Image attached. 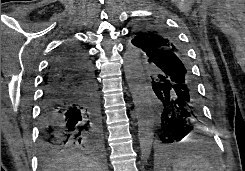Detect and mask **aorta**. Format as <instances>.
Listing matches in <instances>:
<instances>
[{"label": "aorta", "instance_id": "aorta-1", "mask_svg": "<svg viewBox=\"0 0 245 171\" xmlns=\"http://www.w3.org/2000/svg\"><path fill=\"white\" fill-rule=\"evenodd\" d=\"M124 71L138 114L141 157L146 161L151 153L154 138L152 129L155 122L153 110L154 95L144 73L141 52L138 48L130 47L125 52Z\"/></svg>", "mask_w": 245, "mask_h": 171}]
</instances>
